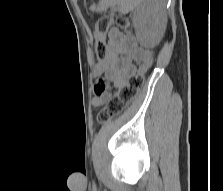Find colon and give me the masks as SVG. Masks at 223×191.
<instances>
[{"label": "colon", "mask_w": 223, "mask_h": 191, "mask_svg": "<svg viewBox=\"0 0 223 191\" xmlns=\"http://www.w3.org/2000/svg\"><path fill=\"white\" fill-rule=\"evenodd\" d=\"M115 23L121 30L129 29V21L125 17H101L96 23L95 30V49L96 63L94 78H101V73L110 70V65L106 56L107 45L106 35L111 25ZM151 64V60L147 59L138 69V72L131 76L129 80L115 93L107 102L106 106L99 112L98 120L107 122L114 116L122 113L127 106L137 97L144 84V75Z\"/></svg>", "instance_id": "colon-1"}]
</instances>
